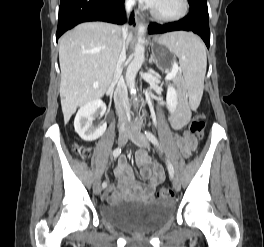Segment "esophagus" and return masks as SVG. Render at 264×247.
Segmentation results:
<instances>
[{
  "label": "esophagus",
  "mask_w": 264,
  "mask_h": 247,
  "mask_svg": "<svg viewBox=\"0 0 264 247\" xmlns=\"http://www.w3.org/2000/svg\"><path fill=\"white\" fill-rule=\"evenodd\" d=\"M135 18H136V21L139 23L140 20H141V13L139 10H136L135 12Z\"/></svg>",
  "instance_id": "34e87169"
}]
</instances>
